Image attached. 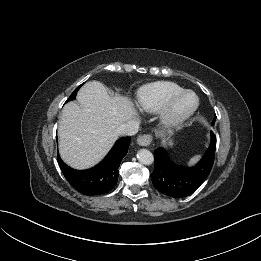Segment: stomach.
I'll use <instances>...</instances> for the list:
<instances>
[{
	"label": "stomach",
	"mask_w": 261,
	"mask_h": 261,
	"mask_svg": "<svg viewBox=\"0 0 261 261\" xmlns=\"http://www.w3.org/2000/svg\"><path fill=\"white\" fill-rule=\"evenodd\" d=\"M168 144H169V146H172V145H173V142L170 140V141L168 142Z\"/></svg>",
	"instance_id": "0dacf381"
}]
</instances>
